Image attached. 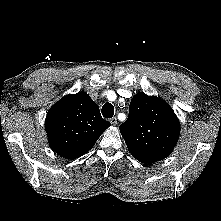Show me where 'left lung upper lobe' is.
<instances>
[{
    "mask_svg": "<svg viewBox=\"0 0 221 221\" xmlns=\"http://www.w3.org/2000/svg\"><path fill=\"white\" fill-rule=\"evenodd\" d=\"M119 129L133 157L154 163L171 154L178 141L180 123L165 101L140 92L132 98L128 119Z\"/></svg>",
    "mask_w": 221,
    "mask_h": 221,
    "instance_id": "obj_1",
    "label": "left lung upper lobe"
}]
</instances>
